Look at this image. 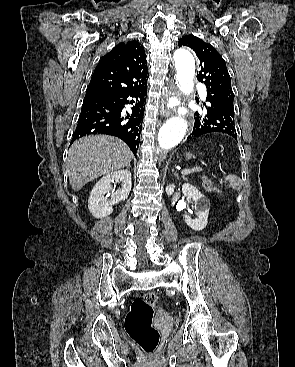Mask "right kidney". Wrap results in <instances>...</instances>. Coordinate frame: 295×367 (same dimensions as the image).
<instances>
[{
	"label": "right kidney",
	"mask_w": 295,
	"mask_h": 367,
	"mask_svg": "<svg viewBox=\"0 0 295 367\" xmlns=\"http://www.w3.org/2000/svg\"><path fill=\"white\" fill-rule=\"evenodd\" d=\"M122 182L117 191L112 189L111 183ZM131 173L127 169L107 174L93 187L88 199V209L92 216L100 219L107 217L113 212L112 205L128 198L131 191ZM111 196V199L108 197Z\"/></svg>",
	"instance_id": "right-kidney-1"
}]
</instances>
